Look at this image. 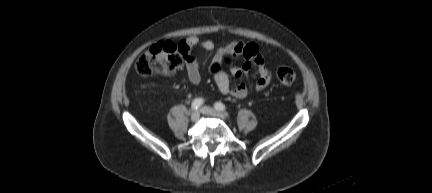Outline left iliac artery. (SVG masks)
Masks as SVG:
<instances>
[{"instance_id":"obj_1","label":"left iliac artery","mask_w":432,"mask_h":193,"mask_svg":"<svg viewBox=\"0 0 432 193\" xmlns=\"http://www.w3.org/2000/svg\"><path fill=\"white\" fill-rule=\"evenodd\" d=\"M214 107H215L217 110H220V111H224V110H226V106H225L223 103H221V102H216V103L214 104Z\"/></svg>"}]
</instances>
